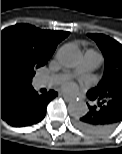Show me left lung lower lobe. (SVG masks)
Segmentation results:
<instances>
[{"label":"left lung lower lobe","mask_w":122,"mask_h":154,"mask_svg":"<svg viewBox=\"0 0 122 154\" xmlns=\"http://www.w3.org/2000/svg\"><path fill=\"white\" fill-rule=\"evenodd\" d=\"M91 101L88 112L76 121V126L83 132L102 135L112 130L122 121V90L114 91L110 97H99L87 93Z\"/></svg>","instance_id":"0a47b994"}]
</instances>
